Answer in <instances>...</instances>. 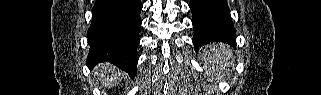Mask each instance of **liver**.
<instances>
[{
  "label": "liver",
  "mask_w": 321,
  "mask_h": 95,
  "mask_svg": "<svg viewBox=\"0 0 321 95\" xmlns=\"http://www.w3.org/2000/svg\"><path fill=\"white\" fill-rule=\"evenodd\" d=\"M96 75L103 81L105 87L116 86L118 82L125 78L124 72L117 71L114 66L105 63L96 68Z\"/></svg>",
  "instance_id": "1"
}]
</instances>
